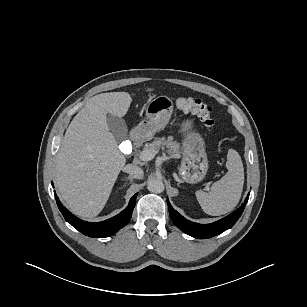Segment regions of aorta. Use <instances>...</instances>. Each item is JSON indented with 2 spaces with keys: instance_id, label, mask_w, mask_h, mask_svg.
<instances>
[{
  "instance_id": "1",
  "label": "aorta",
  "mask_w": 307,
  "mask_h": 307,
  "mask_svg": "<svg viewBox=\"0 0 307 307\" xmlns=\"http://www.w3.org/2000/svg\"><path fill=\"white\" fill-rule=\"evenodd\" d=\"M147 188L150 192L161 193L164 191V183L160 179L152 178L148 180Z\"/></svg>"
}]
</instances>
